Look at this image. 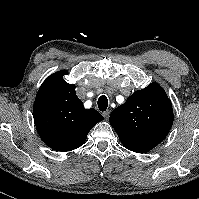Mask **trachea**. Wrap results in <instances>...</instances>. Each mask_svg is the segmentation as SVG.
I'll return each mask as SVG.
<instances>
[{
  "label": "trachea",
  "mask_w": 199,
  "mask_h": 199,
  "mask_svg": "<svg viewBox=\"0 0 199 199\" xmlns=\"http://www.w3.org/2000/svg\"><path fill=\"white\" fill-rule=\"evenodd\" d=\"M108 107V99L105 95L98 98V108L100 111H105Z\"/></svg>",
  "instance_id": "obj_1"
}]
</instances>
